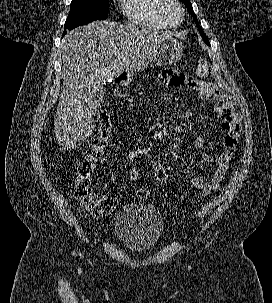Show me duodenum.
Segmentation results:
<instances>
[{
    "mask_svg": "<svg viewBox=\"0 0 272 303\" xmlns=\"http://www.w3.org/2000/svg\"><path fill=\"white\" fill-rule=\"evenodd\" d=\"M130 80V76L127 74H120L119 76H117L114 80L115 84L118 86H124L128 83V81Z\"/></svg>",
    "mask_w": 272,
    "mask_h": 303,
    "instance_id": "duodenum-1",
    "label": "duodenum"
}]
</instances>
